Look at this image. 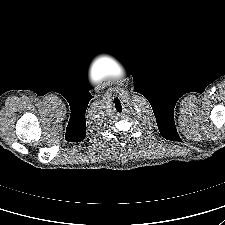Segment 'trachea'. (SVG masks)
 <instances>
[{"instance_id":"obj_1","label":"trachea","mask_w":225,"mask_h":225,"mask_svg":"<svg viewBox=\"0 0 225 225\" xmlns=\"http://www.w3.org/2000/svg\"><path fill=\"white\" fill-rule=\"evenodd\" d=\"M115 107L117 112H122V105L120 104V102H115Z\"/></svg>"}]
</instances>
